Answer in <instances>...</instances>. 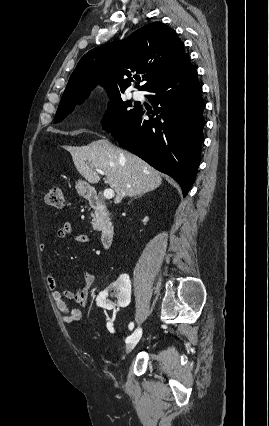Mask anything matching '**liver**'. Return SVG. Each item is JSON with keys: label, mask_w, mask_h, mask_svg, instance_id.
<instances>
[{"label": "liver", "mask_w": 269, "mask_h": 426, "mask_svg": "<svg viewBox=\"0 0 269 426\" xmlns=\"http://www.w3.org/2000/svg\"><path fill=\"white\" fill-rule=\"evenodd\" d=\"M78 172L92 184L100 180L95 169H101L114 189L115 204L126 196L133 197L158 188L162 175L139 157L114 146L106 139L69 149Z\"/></svg>", "instance_id": "1"}]
</instances>
